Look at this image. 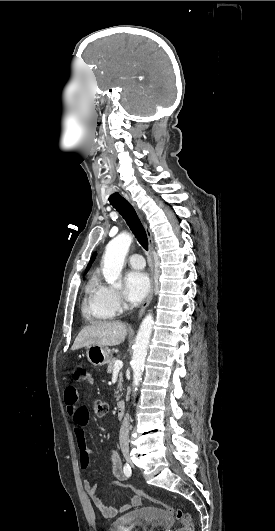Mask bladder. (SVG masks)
Segmentation results:
<instances>
[{
	"mask_svg": "<svg viewBox=\"0 0 275 531\" xmlns=\"http://www.w3.org/2000/svg\"><path fill=\"white\" fill-rule=\"evenodd\" d=\"M172 513L151 505L123 513L107 526V531H171Z\"/></svg>",
	"mask_w": 275,
	"mask_h": 531,
	"instance_id": "bladder-1",
	"label": "bladder"
}]
</instances>
